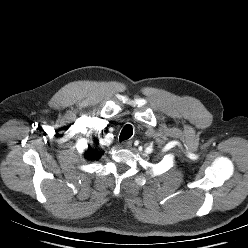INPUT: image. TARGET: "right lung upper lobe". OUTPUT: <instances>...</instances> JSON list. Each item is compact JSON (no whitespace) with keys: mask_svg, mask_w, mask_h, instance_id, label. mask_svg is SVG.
Masks as SVG:
<instances>
[{"mask_svg":"<svg viewBox=\"0 0 248 248\" xmlns=\"http://www.w3.org/2000/svg\"><path fill=\"white\" fill-rule=\"evenodd\" d=\"M96 141V140H95ZM103 153H99L96 150H93L90 146L88 148V150L85 152V157H87L88 159H92V160H97L100 158V156L102 155Z\"/></svg>","mask_w":248,"mask_h":248,"instance_id":"cb5924a9","label":"right lung upper lobe"}]
</instances>
